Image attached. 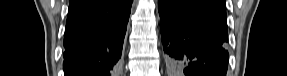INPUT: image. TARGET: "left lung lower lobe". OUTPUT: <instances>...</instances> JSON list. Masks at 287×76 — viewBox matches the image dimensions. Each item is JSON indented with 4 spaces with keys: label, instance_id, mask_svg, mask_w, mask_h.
<instances>
[{
    "label": "left lung lower lobe",
    "instance_id": "left-lung-lower-lobe-1",
    "mask_svg": "<svg viewBox=\"0 0 287 76\" xmlns=\"http://www.w3.org/2000/svg\"><path fill=\"white\" fill-rule=\"evenodd\" d=\"M163 49L191 76H226L227 17L222 0H158Z\"/></svg>",
    "mask_w": 287,
    "mask_h": 76
}]
</instances>
